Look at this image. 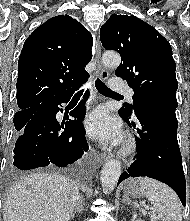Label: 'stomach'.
Returning <instances> with one entry per match:
<instances>
[{
    "instance_id": "obj_1",
    "label": "stomach",
    "mask_w": 190,
    "mask_h": 221,
    "mask_svg": "<svg viewBox=\"0 0 190 221\" xmlns=\"http://www.w3.org/2000/svg\"><path fill=\"white\" fill-rule=\"evenodd\" d=\"M124 193L125 195L133 198H140L144 196V191L141 185L138 183L137 180L134 179H130L126 182L124 187Z\"/></svg>"
}]
</instances>
